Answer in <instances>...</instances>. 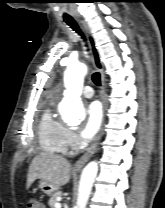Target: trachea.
Returning <instances> with one entry per match:
<instances>
[{"label":"trachea","instance_id":"trachea-1","mask_svg":"<svg viewBox=\"0 0 165 208\" xmlns=\"http://www.w3.org/2000/svg\"><path fill=\"white\" fill-rule=\"evenodd\" d=\"M65 22L75 31L77 32L79 35L82 36V38L85 40V36L82 33V31L80 30L79 26L77 25V23L74 20H65ZM92 80L93 82L97 85L100 86L101 85V77L100 74L98 72L94 73L92 75Z\"/></svg>","mask_w":165,"mask_h":208}]
</instances>
